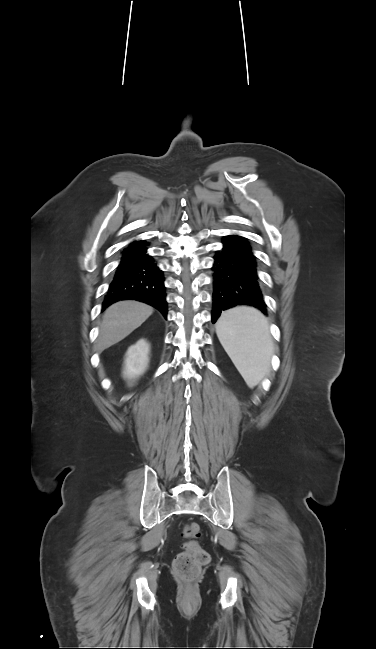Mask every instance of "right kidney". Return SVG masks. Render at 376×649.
I'll list each match as a JSON object with an SVG mask.
<instances>
[{
    "instance_id": "1",
    "label": "right kidney",
    "mask_w": 376,
    "mask_h": 649,
    "mask_svg": "<svg viewBox=\"0 0 376 649\" xmlns=\"http://www.w3.org/2000/svg\"><path fill=\"white\" fill-rule=\"evenodd\" d=\"M148 354L149 344L144 339H141L135 345L130 346L126 352V359L124 362V378L129 381H135L139 378L148 367Z\"/></svg>"
}]
</instances>
